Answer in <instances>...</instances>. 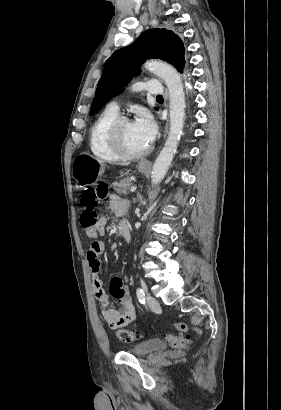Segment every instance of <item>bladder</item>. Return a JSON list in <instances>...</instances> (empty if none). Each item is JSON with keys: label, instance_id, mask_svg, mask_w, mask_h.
Masks as SVG:
<instances>
[{"label": "bladder", "instance_id": "1", "mask_svg": "<svg viewBox=\"0 0 281 410\" xmlns=\"http://www.w3.org/2000/svg\"><path fill=\"white\" fill-rule=\"evenodd\" d=\"M166 348V343L157 340L150 339L144 342H141L137 345L132 346L129 351L137 356H147L156 352H160Z\"/></svg>", "mask_w": 281, "mask_h": 410}]
</instances>
